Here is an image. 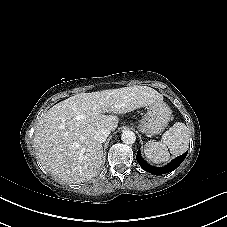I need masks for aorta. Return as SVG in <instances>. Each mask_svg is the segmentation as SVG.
I'll use <instances>...</instances> for the list:
<instances>
[{
    "instance_id": "762f6f07",
    "label": "aorta",
    "mask_w": 227,
    "mask_h": 227,
    "mask_svg": "<svg viewBox=\"0 0 227 227\" xmlns=\"http://www.w3.org/2000/svg\"><path fill=\"white\" fill-rule=\"evenodd\" d=\"M121 140L126 144H133L136 141V135L133 131L126 130L123 131Z\"/></svg>"
}]
</instances>
